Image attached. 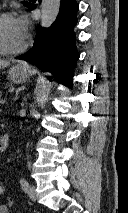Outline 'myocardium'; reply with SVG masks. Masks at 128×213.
I'll return each mask as SVG.
<instances>
[{
	"mask_svg": "<svg viewBox=\"0 0 128 213\" xmlns=\"http://www.w3.org/2000/svg\"><path fill=\"white\" fill-rule=\"evenodd\" d=\"M12 17H13V15L10 12L0 13V23L4 19L12 18ZM26 47H27V41H24L21 46H19L17 48H13V49L5 47L0 41V54H6V55L18 54V53L24 51L26 49Z\"/></svg>",
	"mask_w": 128,
	"mask_h": 213,
	"instance_id": "1",
	"label": "myocardium"
}]
</instances>
